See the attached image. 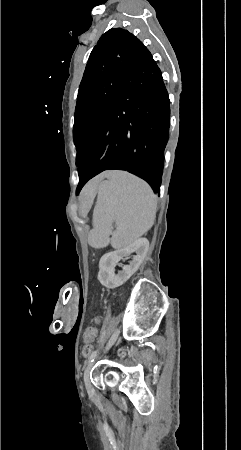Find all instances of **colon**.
<instances>
[{"mask_svg": "<svg viewBox=\"0 0 241 450\" xmlns=\"http://www.w3.org/2000/svg\"><path fill=\"white\" fill-rule=\"evenodd\" d=\"M96 331H97V326H96V324H87V326H86V328H84V330H83V335H84V337H94L95 336V333H96ZM93 345L92 344H87L86 346H84L83 348H82V351H81V356H87V355H89L91 352H92V350H93ZM143 352L145 353V354H149L150 352H151V349L149 348V347H145L144 349H143Z\"/></svg>", "mask_w": 241, "mask_h": 450, "instance_id": "5ec220e1", "label": "colon"}]
</instances>
